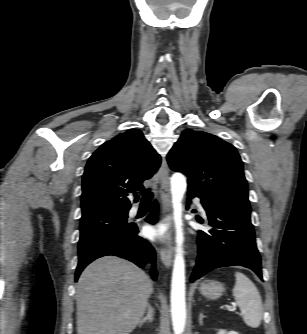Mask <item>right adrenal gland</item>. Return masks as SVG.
Listing matches in <instances>:
<instances>
[{
  "label": "right adrenal gland",
  "mask_w": 307,
  "mask_h": 334,
  "mask_svg": "<svg viewBox=\"0 0 307 334\" xmlns=\"http://www.w3.org/2000/svg\"><path fill=\"white\" fill-rule=\"evenodd\" d=\"M154 320V309L149 305L147 310V315L140 321L139 326H142L143 323L149 321L153 322Z\"/></svg>",
  "instance_id": "right-adrenal-gland-1"
}]
</instances>
